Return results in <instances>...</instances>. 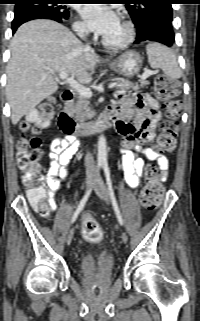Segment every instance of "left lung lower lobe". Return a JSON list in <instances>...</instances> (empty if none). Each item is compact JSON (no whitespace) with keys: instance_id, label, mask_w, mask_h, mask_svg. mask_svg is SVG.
<instances>
[{"instance_id":"1","label":"left lung lower lobe","mask_w":200,"mask_h":321,"mask_svg":"<svg viewBox=\"0 0 200 321\" xmlns=\"http://www.w3.org/2000/svg\"><path fill=\"white\" fill-rule=\"evenodd\" d=\"M137 38L134 43L143 41H156L167 46L174 43V32L172 24L162 19L148 20L137 27Z\"/></svg>"}]
</instances>
